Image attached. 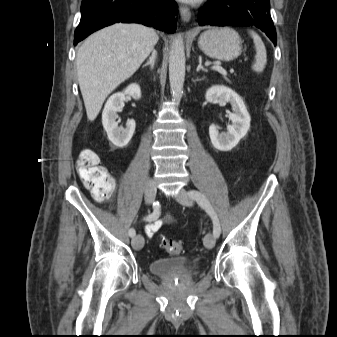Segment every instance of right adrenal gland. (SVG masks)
<instances>
[{
  "label": "right adrenal gland",
  "mask_w": 337,
  "mask_h": 337,
  "mask_svg": "<svg viewBox=\"0 0 337 337\" xmlns=\"http://www.w3.org/2000/svg\"><path fill=\"white\" fill-rule=\"evenodd\" d=\"M156 59H157V51L153 49L149 60L143 65V67L150 66L151 69H154Z\"/></svg>",
  "instance_id": "2a0ac1e0"
}]
</instances>
